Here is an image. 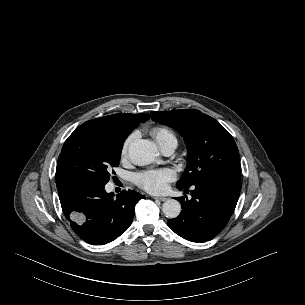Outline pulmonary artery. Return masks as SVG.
<instances>
[{
    "mask_svg": "<svg viewBox=\"0 0 305 305\" xmlns=\"http://www.w3.org/2000/svg\"><path fill=\"white\" fill-rule=\"evenodd\" d=\"M176 146L177 145L175 143H168V144L162 146L161 150L165 155H171L174 152Z\"/></svg>",
    "mask_w": 305,
    "mask_h": 305,
    "instance_id": "obj_1",
    "label": "pulmonary artery"
}]
</instances>
